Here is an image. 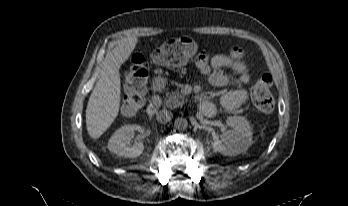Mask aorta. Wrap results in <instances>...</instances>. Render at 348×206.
Listing matches in <instances>:
<instances>
[{
	"label": "aorta",
	"mask_w": 348,
	"mask_h": 206,
	"mask_svg": "<svg viewBox=\"0 0 348 206\" xmlns=\"http://www.w3.org/2000/svg\"><path fill=\"white\" fill-rule=\"evenodd\" d=\"M174 126L178 130H185L188 127V121L185 118H177Z\"/></svg>",
	"instance_id": "1"
}]
</instances>
